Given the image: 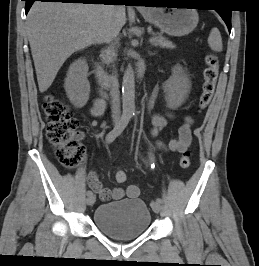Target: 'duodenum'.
Wrapping results in <instances>:
<instances>
[{
    "label": "duodenum",
    "mask_w": 259,
    "mask_h": 266,
    "mask_svg": "<svg viewBox=\"0 0 259 266\" xmlns=\"http://www.w3.org/2000/svg\"><path fill=\"white\" fill-rule=\"evenodd\" d=\"M96 76L101 86L110 87L113 84V78L106 73L96 62H93ZM145 66L143 62H139L136 67L135 76L137 79H141L144 74Z\"/></svg>",
    "instance_id": "duodenum-1"
}]
</instances>
